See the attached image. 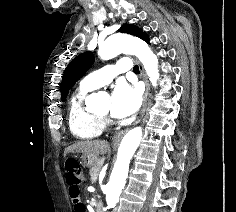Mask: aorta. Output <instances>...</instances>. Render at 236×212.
Returning a JSON list of instances; mask_svg holds the SVG:
<instances>
[{
  "instance_id": "1",
  "label": "aorta",
  "mask_w": 236,
  "mask_h": 212,
  "mask_svg": "<svg viewBox=\"0 0 236 212\" xmlns=\"http://www.w3.org/2000/svg\"><path fill=\"white\" fill-rule=\"evenodd\" d=\"M121 53L137 56L143 64L150 82L156 86L159 79L158 59L147 43L128 34H114L109 36L98 50V55L103 60L112 59ZM103 98H105L103 93H92L86 98V104L89 108L96 107ZM141 139L142 129L135 127L126 133L120 143L109 182L104 188L108 209H115L119 201L128 176L130 160Z\"/></svg>"
}]
</instances>
